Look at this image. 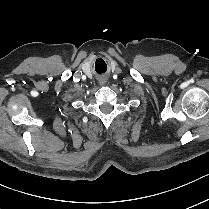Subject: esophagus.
<instances>
[{"instance_id":"esophagus-1","label":"esophagus","mask_w":209,"mask_h":209,"mask_svg":"<svg viewBox=\"0 0 209 209\" xmlns=\"http://www.w3.org/2000/svg\"><path fill=\"white\" fill-rule=\"evenodd\" d=\"M99 83H100V85H104V84H106V80H100Z\"/></svg>"}]
</instances>
